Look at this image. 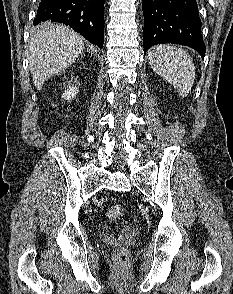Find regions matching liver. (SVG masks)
I'll list each match as a JSON object with an SVG mask.
<instances>
[{"mask_svg": "<svg viewBox=\"0 0 233 294\" xmlns=\"http://www.w3.org/2000/svg\"><path fill=\"white\" fill-rule=\"evenodd\" d=\"M29 69L37 90L72 65L84 49L83 38L69 27L44 23L30 36Z\"/></svg>", "mask_w": 233, "mask_h": 294, "instance_id": "obj_1", "label": "liver"}]
</instances>
